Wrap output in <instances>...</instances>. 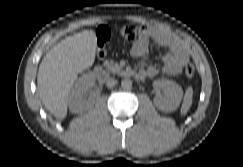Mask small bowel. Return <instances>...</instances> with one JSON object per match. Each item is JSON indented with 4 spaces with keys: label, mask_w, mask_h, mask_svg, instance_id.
Returning <instances> with one entry per match:
<instances>
[{
    "label": "small bowel",
    "mask_w": 243,
    "mask_h": 167,
    "mask_svg": "<svg viewBox=\"0 0 243 167\" xmlns=\"http://www.w3.org/2000/svg\"><path fill=\"white\" fill-rule=\"evenodd\" d=\"M150 38L159 46L168 49V53L162 59V73L165 75L180 73L189 60L188 49L183 42L161 28H153L148 34L138 37L131 47V55L137 59L144 57L148 51ZM158 73L159 69L156 66H149L145 70L139 71L137 77H155Z\"/></svg>",
    "instance_id": "obj_1"
}]
</instances>
